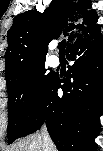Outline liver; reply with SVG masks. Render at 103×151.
I'll return each instance as SVG.
<instances>
[{"label":"liver","instance_id":"6515ba94","mask_svg":"<svg viewBox=\"0 0 103 151\" xmlns=\"http://www.w3.org/2000/svg\"><path fill=\"white\" fill-rule=\"evenodd\" d=\"M8 151H43L41 134H34L14 144ZM48 151H56L54 144L48 146Z\"/></svg>","mask_w":103,"mask_h":151}]
</instances>
